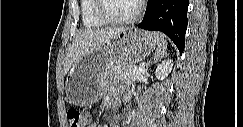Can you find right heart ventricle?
<instances>
[{"label":"right heart ventricle","instance_id":"obj_1","mask_svg":"<svg viewBox=\"0 0 243 127\" xmlns=\"http://www.w3.org/2000/svg\"><path fill=\"white\" fill-rule=\"evenodd\" d=\"M80 11L82 24L86 28H99L107 24L97 15L96 0H82Z\"/></svg>","mask_w":243,"mask_h":127}]
</instances>
